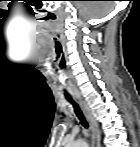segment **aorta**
I'll return each instance as SVG.
<instances>
[{"mask_svg": "<svg viewBox=\"0 0 140 147\" xmlns=\"http://www.w3.org/2000/svg\"><path fill=\"white\" fill-rule=\"evenodd\" d=\"M73 146H75V147H87L88 144L84 140H79L76 143H74Z\"/></svg>", "mask_w": 140, "mask_h": 147, "instance_id": "obj_1", "label": "aorta"}]
</instances>
